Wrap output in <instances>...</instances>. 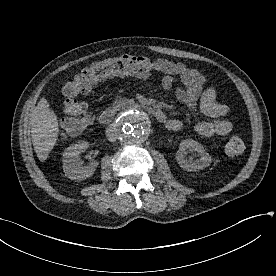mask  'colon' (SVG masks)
<instances>
[{
    "label": "colon",
    "instance_id": "5ec220e1",
    "mask_svg": "<svg viewBox=\"0 0 276 276\" xmlns=\"http://www.w3.org/2000/svg\"><path fill=\"white\" fill-rule=\"evenodd\" d=\"M155 72L153 60L130 54L92 63L63 87L65 118L61 125L62 133L64 135L77 134L90 125L92 117L88 105L77 98L89 93L99 82L118 75L149 78ZM244 150V140L238 134L230 137L225 145V152L231 157L242 154Z\"/></svg>",
    "mask_w": 276,
    "mask_h": 276
}]
</instances>
